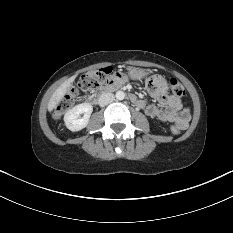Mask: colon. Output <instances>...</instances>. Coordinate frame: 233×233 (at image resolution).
Returning <instances> with one entry per match:
<instances>
[{
  "label": "colon",
  "instance_id": "1",
  "mask_svg": "<svg viewBox=\"0 0 233 233\" xmlns=\"http://www.w3.org/2000/svg\"><path fill=\"white\" fill-rule=\"evenodd\" d=\"M111 72V68L104 67L83 74L78 80L77 85L73 87L57 105L54 112L55 117H60L74 105L76 97L80 91H93L103 84H113L111 81ZM169 87L173 96H184L185 88L177 79L171 78L169 80ZM171 130L174 134H178L181 131L180 127L177 125H172Z\"/></svg>",
  "mask_w": 233,
  "mask_h": 233
}]
</instances>
